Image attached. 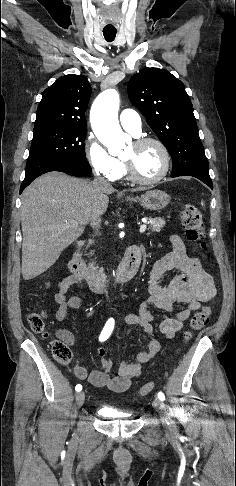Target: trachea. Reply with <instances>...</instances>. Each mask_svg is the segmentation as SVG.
<instances>
[{
    "mask_svg": "<svg viewBox=\"0 0 236 486\" xmlns=\"http://www.w3.org/2000/svg\"><path fill=\"white\" fill-rule=\"evenodd\" d=\"M103 35L106 41L112 42L116 37V30H103Z\"/></svg>",
    "mask_w": 236,
    "mask_h": 486,
    "instance_id": "1",
    "label": "trachea"
}]
</instances>
